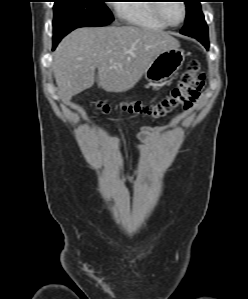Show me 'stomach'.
Instances as JSON below:
<instances>
[{
	"mask_svg": "<svg viewBox=\"0 0 248 299\" xmlns=\"http://www.w3.org/2000/svg\"><path fill=\"white\" fill-rule=\"evenodd\" d=\"M185 60L183 50L169 49L159 54L145 70V79L149 82L160 83L174 75Z\"/></svg>",
	"mask_w": 248,
	"mask_h": 299,
	"instance_id": "obj_1",
	"label": "stomach"
}]
</instances>
